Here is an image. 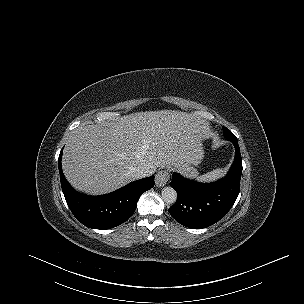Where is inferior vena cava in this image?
Here are the masks:
<instances>
[{"label": "inferior vena cava", "instance_id": "1", "mask_svg": "<svg viewBox=\"0 0 304 304\" xmlns=\"http://www.w3.org/2000/svg\"><path fill=\"white\" fill-rule=\"evenodd\" d=\"M154 172H155V170H153V169H149L145 166H138L137 168H135L133 170V175L136 179H140V178L151 176L152 174H154Z\"/></svg>", "mask_w": 304, "mask_h": 304}]
</instances>
